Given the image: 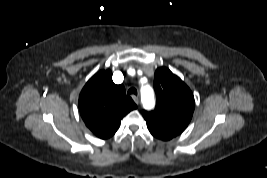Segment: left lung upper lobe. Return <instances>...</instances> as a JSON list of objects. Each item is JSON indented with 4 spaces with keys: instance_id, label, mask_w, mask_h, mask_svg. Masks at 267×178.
Returning a JSON list of instances; mask_svg holds the SVG:
<instances>
[{
    "instance_id": "1",
    "label": "left lung upper lobe",
    "mask_w": 267,
    "mask_h": 178,
    "mask_svg": "<svg viewBox=\"0 0 267 178\" xmlns=\"http://www.w3.org/2000/svg\"><path fill=\"white\" fill-rule=\"evenodd\" d=\"M156 107L143 111L150 133L160 140H171L188 126L194 111V96L189 87L168 68L155 71Z\"/></svg>"
}]
</instances>
